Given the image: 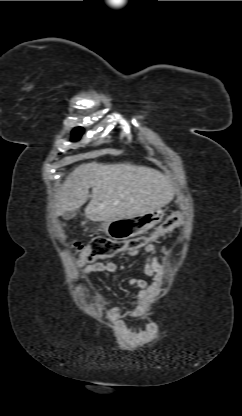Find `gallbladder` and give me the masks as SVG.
<instances>
[{
  "label": "gallbladder",
  "mask_w": 242,
  "mask_h": 416,
  "mask_svg": "<svg viewBox=\"0 0 242 416\" xmlns=\"http://www.w3.org/2000/svg\"><path fill=\"white\" fill-rule=\"evenodd\" d=\"M76 215H77L76 211H66V212L63 214V218H64L65 220H71V219H73Z\"/></svg>",
  "instance_id": "1"
}]
</instances>
